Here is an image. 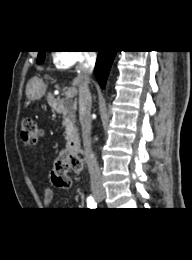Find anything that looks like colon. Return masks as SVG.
<instances>
[{"mask_svg": "<svg viewBox=\"0 0 192 260\" xmlns=\"http://www.w3.org/2000/svg\"><path fill=\"white\" fill-rule=\"evenodd\" d=\"M20 136L26 147L35 148L40 143L43 131L32 118L26 117L21 121ZM83 158L82 154L59 153L54 159L51 171L53 185L62 189L69 188L71 186L70 173L79 172L82 169Z\"/></svg>", "mask_w": 192, "mask_h": 260, "instance_id": "obj_1", "label": "colon"}]
</instances>
